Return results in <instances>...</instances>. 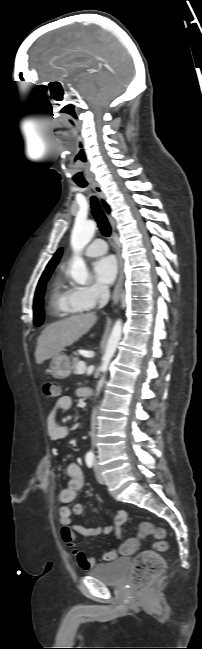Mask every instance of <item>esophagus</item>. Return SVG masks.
<instances>
[{
    "instance_id": "esophagus-1",
    "label": "esophagus",
    "mask_w": 202,
    "mask_h": 649,
    "mask_svg": "<svg viewBox=\"0 0 202 649\" xmlns=\"http://www.w3.org/2000/svg\"><path fill=\"white\" fill-rule=\"evenodd\" d=\"M91 187L93 188L94 192L98 195L99 198H101V199L104 198V193H103L102 188L100 187V185L98 183H96L94 181L91 182ZM108 217H109L112 229L114 231L115 230V223H114L113 219L110 216H108ZM117 258H118V264H119V276H118V280H117V283L115 285L114 292H113V303H115L118 300L119 296H120V293L122 291V286H123V279H124L123 262H122V258L120 256L119 251L117 252Z\"/></svg>"
}]
</instances>
